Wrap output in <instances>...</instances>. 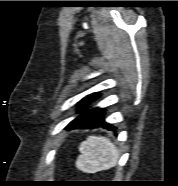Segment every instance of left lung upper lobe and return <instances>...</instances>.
<instances>
[{"label": "left lung upper lobe", "mask_w": 178, "mask_h": 186, "mask_svg": "<svg viewBox=\"0 0 178 186\" xmlns=\"http://www.w3.org/2000/svg\"><path fill=\"white\" fill-rule=\"evenodd\" d=\"M98 95L99 93H93V94L86 96L78 103V106L83 107V106L89 105L90 102L98 98Z\"/></svg>", "instance_id": "left-lung-upper-lobe-1"}]
</instances>
